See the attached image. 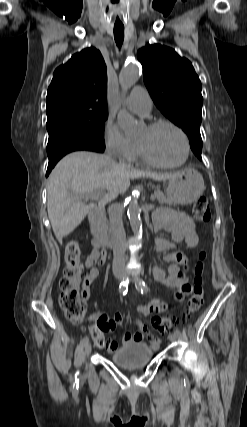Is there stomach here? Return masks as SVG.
<instances>
[{
	"instance_id": "0dacf381",
	"label": "stomach",
	"mask_w": 247,
	"mask_h": 427,
	"mask_svg": "<svg viewBox=\"0 0 247 427\" xmlns=\"http://www.w3.org/2000/svg\"><path fill=\"white\" fill-rule=\"evenodd\" d=\"M202 175L193 168H186L174 173L169 179L167 197L176 204L194 203L204 192Z\"/></svg>"
}]
</instances>
